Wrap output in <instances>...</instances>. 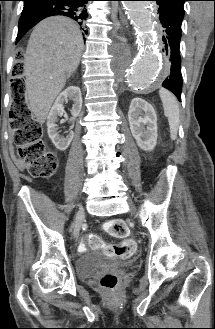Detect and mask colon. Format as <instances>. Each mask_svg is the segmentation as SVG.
Masks as SVG:
<instances>
[{
  "mask_svg": "<svg viewBox=\"0 0 215 329\" xmlns=\"http://www.w3.org/2000/svg\"><path fill=\"white\" fill-rule=\"evenodd\" d=\"M12 62H27V55H12ZM11 73H22V66H11ZM13 105L10 111V124L17 146V159L28 169L35 178H49L58 168L56 154L48 150L42 139L43 129L29 109L25 93L26 87L22 80L13 79L11 82ZM106 232L115 238L122 239L118 246L107 245L97 236L90 235L81 243L80 248L90 246L103 250L107 255L130 257L135 251V242L129 238V229L121 219H113L105 224ZM118 284V276L107 273L100 279V285L107 290H114Z\"/></svg>",
  "mask_w": 215,
  "mask_h": 329,
  "instance_id": "obj_1",
  "label": "colon"
}]
</instances>
